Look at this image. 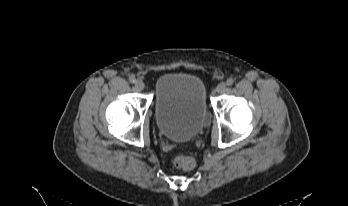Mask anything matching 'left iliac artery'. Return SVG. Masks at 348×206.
I'll use <instances>...</instances> for the list:
<instances>
[{
  "mask_svg": "<svg viewBox=\"0 0 348 206\" xmlns=\"http://www.w3.org/2000/svg\"><path fill=\"white\" fill-rule=\"evenodd\" d=\"M234 83V80L232 78H228L226 81L227 86H232Z\"/></svg>",
  "mask_w": 348,
  "mask_h": 206,
  "instance_id": "obj_1",
  "label": "left iliac artery"
}]
</instances>
